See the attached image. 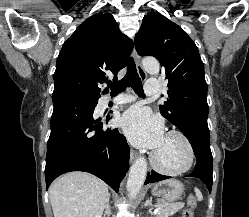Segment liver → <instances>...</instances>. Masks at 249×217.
<instances>
[{
    "mask_svg": "<svg viewBox=\"0 0 249 217\" xmlns=\"http://www.w3.org/2000/svg\"><path fill=\"white\" fill-rule=\"evenodd\" d=\"M110 197L108 186L86 172H70L49 188L54 217H102Z\"/></svg>",
    "mask_w": 249,
    "mask_h": 217,
    "instance_id": "obj_1",
    "label": "liver"
}]
</instances>
